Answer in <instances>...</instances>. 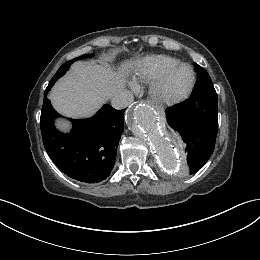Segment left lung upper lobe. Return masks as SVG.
I'll return each mask as SVG.
<instances>
[{"label": "left lung upper lobe", "mask_w": 260, "mask_h": 260, "mask_svg": "<svg viewBox=\"0 0 260 260\" xmlns=\"http://www.w3.org/2000/svg\"><path fill=\"white\" fill-rule=\"evenodd\" d=\"M195 67L197 70V82L195 84L191 97L199 96L202 94L216 93L212 80L207 71L198 64H195Z\"/></svg>", "instance_id": "1"}]
</instances>
